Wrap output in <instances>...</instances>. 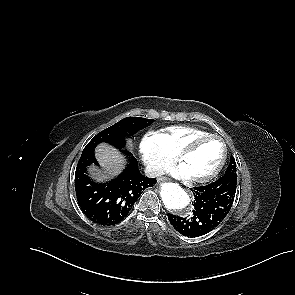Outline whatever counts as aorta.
<instances>
[{
    "label": "aorta",
    "instance_id": "obj_1",
    "mask_svg": "<svg viewBox=\"0 0 295 295\" xmlns=\"http://www.w3.org/2000/svg\"><path fill=\"white\" fill-rule=\"evenodd\" d=\"M160 196L165 207L169 210L182 211L190 203V197L176 183H163L160 188Z\"/></svg>",
    "mask_w": 295,
    "mask_h": 295
}]
</instances>
